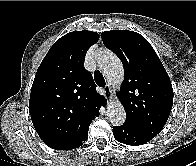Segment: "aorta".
<instances>
[{"instance_id": "aorta-1", "label": "aorta", "mask_w": 196, "mask_h": 166, "mask_svg": "<svg viewBox=\"0 0 196 166\" xmlns=\"http://www.w3.org/2000/svg\"><path fill=\"white\" fill-rule=\"evenodd\" d=\"M98 66L107 81L113 86H120L124 79L123 65L111 50H104L98 57ZM106 116L114 126L125 122L126 112L120 101H112L107 105Z\"/></svg>"}]
</instances>
